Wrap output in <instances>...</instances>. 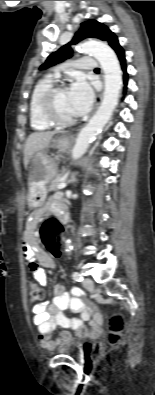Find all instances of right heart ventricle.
<instances>
[{
	"label": "right heart ventricle",
	"instance_id": "e07e8e85",
	"mask_svg": "<svg viewBox=\"0 0 155 395\" xmlns=\"http://www.w3.org/2000/svg\"><path fill=\"white\" fill-rule=\"evenodd\" d=\"M53 79L45 77L37 82L34 86L30 99H29V120L32 129L37 131H44L52 127L51 124L46 122L39 111V100L42 94L53 85Z\"/></svg>",
	"mask_w": 155,
	"mask_h": 395
}]
</instances>
